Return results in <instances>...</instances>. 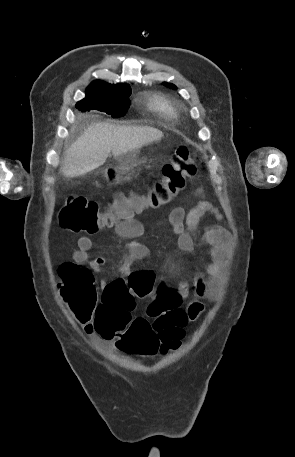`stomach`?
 I'll return each mask as SVG.
<instances>
[{
  "mask_svg": "<svg viewBox=\"0 0 295 457\" xmlns=\"http://www.w3.org/2000/svg\"><path fill=\"white\" fill-rule=\"evenodd\" d=\"M135 152H130L123 155L121 158L123 161H119L116 166H109L104 170V176L107 181L116 183L119 181L120 176L129 171L130 167L135 162Z\"/></svg>",
  "mask_w": 295,
  "mask_h": 457,
  "instance_id": "obj_1",
  "label": "stomach"
}]
</instances>
